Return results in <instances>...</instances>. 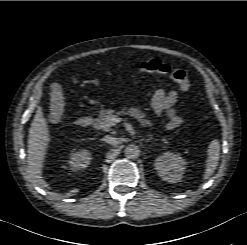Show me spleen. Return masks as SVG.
Wrapping results in <instances>:
<instances>
[{
	"instance_id": "obj_1",
	"label": "spleen",
	"mask_w": 247,
	"mask_h": 245,
	"mask_svg": "<svg viewBox=\"0 0 247 245\" xmlns=\"http://www.w3.org/2000/svg\"><path fill=\"white\" fill-rule=\"evenodd\" d=\"M207 154L208 157H207L206 169L203 177L204 180L212 176L218 166V161L220 156V143L217 139H214L210 142L208 146Z\"/></svg>"
}]
</instances>
